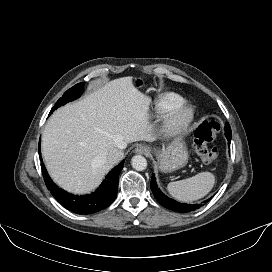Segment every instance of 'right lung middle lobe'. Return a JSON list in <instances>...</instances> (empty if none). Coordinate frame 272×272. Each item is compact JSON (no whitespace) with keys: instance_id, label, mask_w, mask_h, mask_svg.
<instances>
[{"instance_id":"right-lung-middle-lobe-1","label":"right lung middle lobe","mask_w":272,"mask_h":272,"mask_svg":"<svg viewBox=\"0 0 272 272\" xmlns=\"http://www.w3.org/2000/svg\"><path fill=\"white\" fill-rule=\"evenodd\" d=\"M84 82L78 83L71 89H68L63 96L57 101V103L52 108L50 114L56 110L58 107L77 99L83 93Z\"/></svg>"}]
</instances>
